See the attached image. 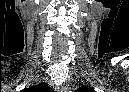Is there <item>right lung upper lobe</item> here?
Listing matches in <instances>:
<instances>
[{
	"label": "right lung upper lobe",
	"mask_w": 129,
	"mask_h": 92,
	"mask_svg": "<svg viewBox=\"0 0 129 92\" xmlns=\"http://www.w3.org/2000/svg\"><path fill=\"white\" fill-rule=\"evenodd\" d=\"M48 90V85L45 83L39 84V86H31L30 88H25L22 92H39Z\"/></svg>",
	"instance_id": "obj_1"
}]
</instances>
